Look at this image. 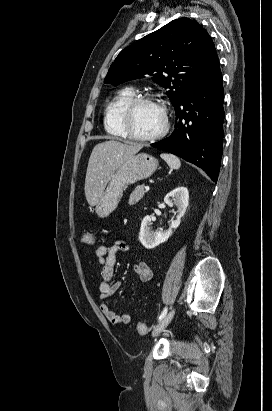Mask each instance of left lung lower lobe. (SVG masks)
<instances>
[{
    "mask_svg": "<svg viewBox=\"0 0 272 411\" xmlns=\"http://www.w3.org/2000/svg\"><path fill=\"white\" fill-rule=\"evenodd\" d=\"M224 91L218 58L174 107L175 130L151 146L202 168L217 181L224 137Z\"/></svg>",
    "mask_w": 272,
    "mask_h": 411,
    "instance_id": "0a47b994",
    "label": "left lung lower lobe"
}]
</instances>
